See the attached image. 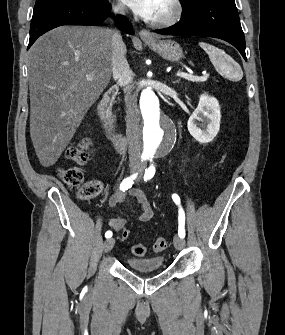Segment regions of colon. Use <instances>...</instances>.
I'll return each mask as SVG.
<instances>
[{"mask_svg": "<svg viewBox=\"0 0 285 335\" xmlns=\"http://www.w3.org/2000/svg\"><path fill=\"white\" fill-rule=\"evenodd\" d=\"M90 141L81 139L76 145L67 151V158L72 162L58 171L62 181L70 188L76 190L80 199L89 201L98 196L102 190V185L98 181H86L82 171V166L89 159ZM130 231L125 229L122 233V241H127ZM168 247V241L164 237H158L152 245L154 252H161ZM135 256L142 257L146 254L147 248L143 244H135L131 248Z\"/></svg>", "mask_w": 285, "mask_h": 335, "instance_id": "1", "label": "colon"}]
</instances>
